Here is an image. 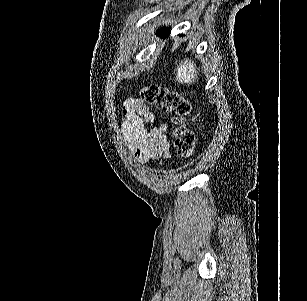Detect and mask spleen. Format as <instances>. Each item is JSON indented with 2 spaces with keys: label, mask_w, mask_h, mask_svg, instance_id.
Returning a JSON list of instances; mask_svg holds the SVG:
<instances>
[{
  "label": "spleen",
  "mask_w": 307,
  "mask_h": 301,
  "mask_svg": "<svg viewBox=\"0 0 307 301\" xmlns=\"http://www.w3.org/2000/svg\"><path fill=\"white\" fill-rule=\"evenodd\" d=\"M176 64L177 66L174 70L175 80L179 84H187V86L195 84L196 80H198V70L193 60L184 58V60H176Z\"/></svg>",
  "instance_id": "3e777b00"
}]
</instances>
